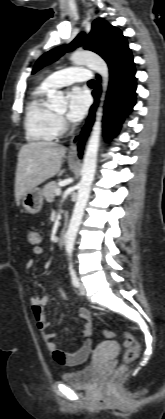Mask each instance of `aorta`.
I'll return each mask as SVG.
<instances>
[{"label":"aorta","mask_w":165,"mask_h":419,"mask_svg":"<svg viewBox=\"0 0 165 419\" xmlns=\"http://www.w3.org/2000/svg\"><path fill=\"white\" fill-rule=\"evenodd\" d=\"M70 60L76 65H86L97 72L102 77V95L100 104L96 111L95 123L92 128L91 136L87 145L81 170V180L79 182L77 201L66 233V251L71 257L74 243L79 226L84 214V208L87 204L91 184L94 179L97 154L100 143L103 104L109 82V69L107 63L97 54L89 51H75ZM50 104L53 109H61L65 106V99L61 91L56 92L50 97Z\"/></svg>","instance_id":"1"}]
</instances>
